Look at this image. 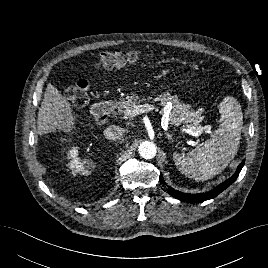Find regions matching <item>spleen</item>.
Listing matches in <instances>:
<instances>
[{
  "label": "spleen",
  "instance_id": "spleen-1",
  "mask_svg": "<svg viewBox=\"0 0 268 268\" xmlns=\"http://www.w3.org/2000/svg\"><path fill=\"white\" fill-rule=\"evenodd\" d=\"M220 125L211 138L196 146L187 155L174 153L179 171L196 181L213 178L235 157L243 125L241 106L233 97H225L219 104Z\"/></svg>",
  "mask_w": 268,
  "mask_h": 268
}]
</instances>
